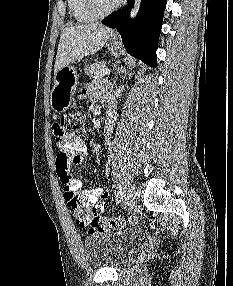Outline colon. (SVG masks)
Wrapping results in <instances>:
<instances>
[{"label": "colon", "mask_w": 233, "mask_h": 286, "mask_svg": "<svg viewBox=\"0 0 233 286\" xmlns=\"http://www.w3.org/2000/svg\"><path fill=\"white\" fill-rule=\"evenodd\" d=\"M84 113L72 111L66 113L57 128L60 133L79 135L84 129ZM66 202L76 219L89 227L90 235L103 234L108 231L124 227L129 220L119 217H101L94 209L86 208L78 195L73 192L66 194Z\"/></svg>", "instance_id": "obj_1"}]
</instances>
